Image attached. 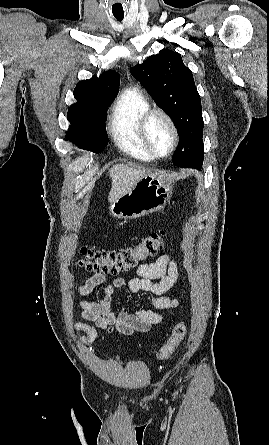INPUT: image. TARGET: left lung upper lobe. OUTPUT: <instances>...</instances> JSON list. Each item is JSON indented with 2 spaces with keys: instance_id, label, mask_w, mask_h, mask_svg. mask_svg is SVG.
Listing matches in <instances>:
<instances>
[{
  "instance_id": "left-lung-upper-lobe-1",
  "label": "left lung upper lobe",
  "mask_w": 269,
  "mask_h": 445,
  "mask_svg": "<svg viewBox=\"0 0 269 445\" xmlns=\"http://www.w3.org/2000/svg\"><path fill=\"white\" fill-rule=\"evenodd\" d=\"M130 71L177 127L179 144L173 164L200 168L204 158L201 99L192 71L184 65L181 55L163 49Z\"/></svg>"
}]
</instances>
